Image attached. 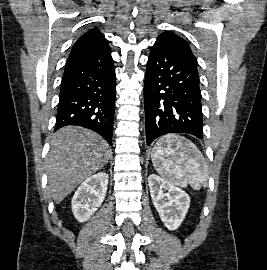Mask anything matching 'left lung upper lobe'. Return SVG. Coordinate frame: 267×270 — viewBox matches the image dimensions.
<instances>
[{"label": "left lung upper lobe", "mask_w": 267, "mask_h": 270, "mask_svg": "<svg viewBox=\"0 0 267 270\" xmlns=\"http://www.w3.org/2000/svg\"><path fill=\"white\" fill-rule=\"evenodd\" d=\"M156 42H159L161 44H164V45H167L176 49L178 52L187 56L188 59H190L191 61H193L194 64L197 65L196 58L193 55L188 43L184 39H182L180 36L176 35L175 33L170 32V31L165 32L158 36Z\"/></svg>", "instance_id": "1"}]
</instances>
